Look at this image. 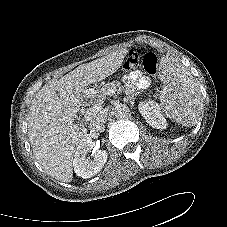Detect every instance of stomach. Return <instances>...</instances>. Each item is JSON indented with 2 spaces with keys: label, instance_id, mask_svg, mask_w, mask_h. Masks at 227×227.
Instances as JSON below:
<instances>
[{
  "label": "stomach",
  "instance_id": "1",
  "mask_svg": "<svg viewBox=\"0 0 227 227\" xmlns=\"http://www.w3.org/2000/svg\"><path fill=\"white\" fill-rule=\"evenodd\" d=\"M112 86V83L110 80L108 79H105V80H98L90 85L87 86L85 92H84V97L87 98V93L90 94V95H93L99 91H102V90H108L110 89Z\"/></svg>",
  "mask_w": 227,
  "mask_h": 227
}]
</instances>
